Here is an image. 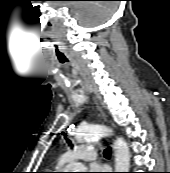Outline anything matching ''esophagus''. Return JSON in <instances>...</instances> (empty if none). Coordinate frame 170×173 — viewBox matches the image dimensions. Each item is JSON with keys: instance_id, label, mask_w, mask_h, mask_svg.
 <instances>
[{"instance_id": "1", "label": "esophagus", "mask_w": 170, "mask_h": 173, "mask_svg": "<svg viewBox=\"0 0 170 173\" xmlns=\"http://www.w3.org/2000/svg\"><path fill=\"white\" fill-rule=\"evenodd\" d=\"M99 109H100V111L102 112L101 108H99ZM102 115H103L104 119L106 120L105 115H104V113H103V112H102Z\"/></svg>"}]
</instances>
